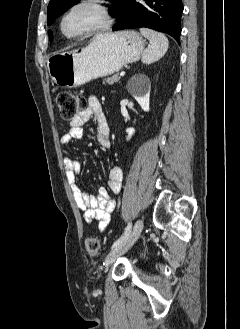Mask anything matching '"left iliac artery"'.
Wrapping results in <instances>:
<instances>
[{
  "label": "left iliac artery",
  "mask_w": 240,
  "mask_h": 329,
  "mask_svg": "<svg viewBox=\"0 0 240 329\" xmlns=\"http://www.w3.org/2000/svg\"><path fill=\"white\" fill-rule=\"evenodd\" d=\"M131 230H132V223L130 222L128 223L122 236L114 242V244L112 245V249H115L120 243H122L129 236Z\"/></svg>",
  "instance_id": "left-iliac-artery-1"
}]
</instances>
